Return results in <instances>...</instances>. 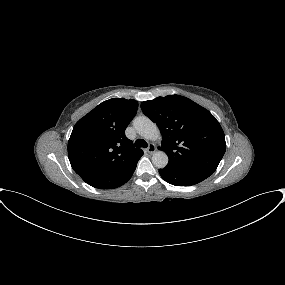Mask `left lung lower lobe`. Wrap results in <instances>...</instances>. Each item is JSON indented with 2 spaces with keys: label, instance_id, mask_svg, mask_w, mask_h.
Instances as JSON below:
<instances>
[{
  "label": "left lung lower lobe",
  "instance_id": "0a47b994",
  "mask_svg": "<svg viewBox=\"0 0 285 285\" xmlns=\"http://www.w3.org/2000/svg\"><path fill=\"white\" fill-rule=\"evenodd\" d=\"M159 174L166 182L175 186H192L210 176V174L201 171L181 170L170 167L159 169Z\"/></svg>",
  "mask_w": 285,
  "mask_h": 285
}]
</instances>
